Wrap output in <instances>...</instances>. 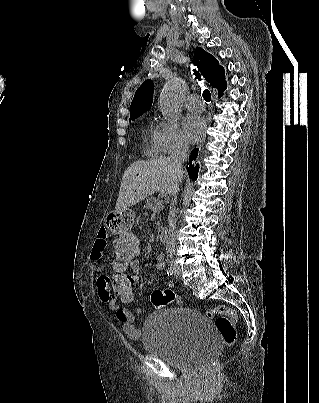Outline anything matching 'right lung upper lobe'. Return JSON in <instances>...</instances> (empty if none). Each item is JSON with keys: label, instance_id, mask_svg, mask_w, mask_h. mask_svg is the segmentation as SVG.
I'll return each instance as SVG.
<instances>
[{"label": "right lung upper lobe", "instance_id": "right-lung-upper-lobe-1", "mask_svg": "<svg viewBox=\"0 0 319 403\" xmlns=\"http://www.w3.org/2000/svg\"><path fill=\"white\" fill-rule=\"evenodd\" d=\"M194 64L204 75L205 79L212 87L218 89V95L222 96L226 89L225 73L218 61L202 48L194 51ZM154 84L151 80H146L137 89L130 106V118L137 117L146 112L153 102Z\"/></svg>", "mask_w": 319, "mask_h": 403}]
</instances>
